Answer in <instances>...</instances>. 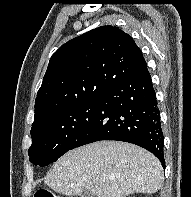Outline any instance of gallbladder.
I'll use <instances>...</instances> for the list:
<instances>
[{
	"instance_id": "bac80fb5",
	"label": "gallbladder",
	"mask_w": 191,
	"mask_h": 197,
	"mask_svg": "<svg viewBox=\"0 0 191 197\" xmlns=\"http://www.w3.org/2000/svg\"><path fill=\"white\" fill-rule=\"evenodd\" d=\"M81 197H96L93 193L89 192V191H84L81 194Z\"/></svg>"
}]
</instances>
